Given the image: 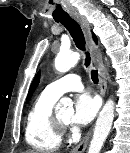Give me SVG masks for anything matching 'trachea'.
I'll list each match as a JSON object with an SVG mask.
<instances>
[{
  "label": "trachea",
  "mask_w": 130,
  "mask_h": 153,
  "mask_svg": "<svg viewBox=\"0 0 130 153\" xmlns=\"http://www.w3.org/2000/svg\"><path fill=\"white\" fill-rule=\"evenodd\" d=\"M56 22H60L61 24H63L66 29L69 31V33L71 34L76 46L78 47V49L82 50L85 52V66L89 67L90 66V55L89 53L86 51V47H85V38H84V34L82 32V29L80 27V25L77 23V21H75L73 18H71L70 16H66L60 19H57ZM91 78L92 81L97 84L98 83V72L97 70H91Z\"/></svg>",
  "instance_id": "trachea-1"
}]
</instances>
